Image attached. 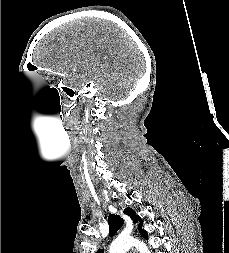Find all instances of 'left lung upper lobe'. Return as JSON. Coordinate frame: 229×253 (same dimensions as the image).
I'll use <instances>...</instances> for the list:
<instances>
[{"label": "left lung upper lobe", "mask_w": 229, "mask_h": 253, "mask_svg": "<svg viewBox=\"0 0 229 253\" xmlns=\"http://www.w3.org/2000/svg\"><path fill=\"white\" fill-rule=\"evenodd\" d=\"M124 213L129 215L131 217V219L133 220L134 223L137 222V220H139V224H138V230L140 232V234L147 239L148 234L146 231H144L142 229V220L139 216L136 215L135 211L132 208H126L124 210ZM124 221L123 219L118 216V215H114V214H110L108 217V224H109V235L113 236L123 225ZM96 253H104V251L102 249H99Z\"/></svg>", "instance_id": "5c2ea615"}]
</instances>
